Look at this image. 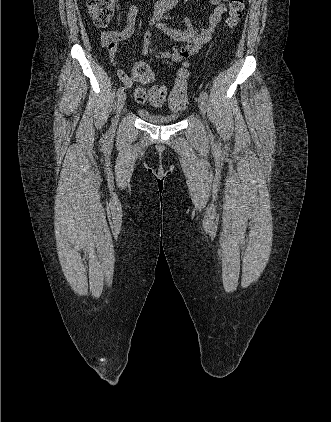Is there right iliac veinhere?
I'll return each mask as SVG.
<instances>
[{"label": "right iliac vein", "instance_id": "obj_1", "mask_svg": "<svg viewBox=\"0 0 331 422\" xmlns=\"http://www.w3.org/2000/svg\"><path fill=\"white\" fill-rule=\"evenodd\" d=\"M125 103H126V93L123 92V93H121L120 96H118V99H117L116 116H115V119H114V122H113V127H116L119 115H120Z\"/></svg>", "mask_w": 331, "mask_h": 422}]
</instances>
